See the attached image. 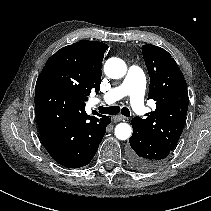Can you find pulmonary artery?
I'll list each match as a JSON object with an SVG mask.
<instances>
[{
    "label": "pulmonary artery",
    "mask_w": 211,
    "mask_h": 211,
    "mask_svg": "<svg viewBox=\"0 0 211 211\" xmlns=\"http://www.w3.org/2000/svg\"><path fill=\"white\" fill-rule=\"evenodd\" d=\"M146 89V78L143 71L136 66H131L122 83L105 93L101 100L95 99L94 104L102 102L113 104L121 98L128 96L132 109L135 113L142 115L145 112L144 94Z\"/></svg>",
    "instance_id": "e3ab8cb5"
}]
</instances>
